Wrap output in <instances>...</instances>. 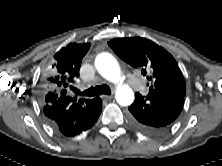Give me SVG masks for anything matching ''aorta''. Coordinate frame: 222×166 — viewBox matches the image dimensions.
Instances as JSON below:
<instances>
[{"label":"aorta","mask_w":222,"mask_h":166,"mask_svg":"<svg viewBox=\"0 0 222 166\" xmlns=\"http://www.w3.org/2000/svg\"><path fill=\"white\" fill-rule=\"evenodd\" d=\"M97 71L108 81L118 84L115 98L119 105L129 106L134 101V93L128 85L119 83L121 71L116 59L109 53H101L96 57Z\"/></svg>","instance_id":"aorta-1"}]
</instances>
